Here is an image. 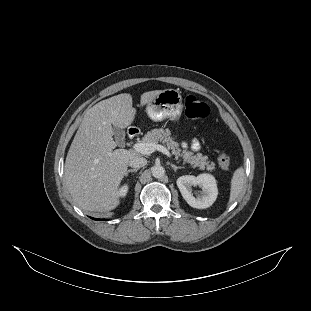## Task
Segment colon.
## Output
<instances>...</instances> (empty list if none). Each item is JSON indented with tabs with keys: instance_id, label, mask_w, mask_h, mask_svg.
Returning a JSON list of instances; mask_svg holds the SVG:
<instances>
[{
	"instance_id": "5ec220e1",
	"label": "colon",
	"mask_w": 311,
	"mask_h": 311,
	"mask_svg": "<svg viewBox=\"0 0 311 311\" xmlns=\"http://www.w3.org/2000/svg\"><path fill=\"white\" fill-rule=\"evenodd\" d=\"M184 108L186 116L191 120L204 119L209 115L210 111L204 101L192 95L185 97ZM217 160L222 169L228 170L230 168V157L226 152H219Z\"/></svg>"
}]
</instances>
